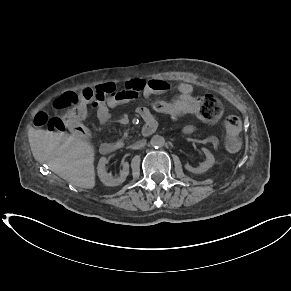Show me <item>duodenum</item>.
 Returning a JSON list of instances; mask_svg holds the SVG:
<instances>
[{"instance_id": "duodenum-1", "label": "duodenum", "mask_w": 291, "mask_h": 291, "mask_svg": "<svg viewBox=\"0 0 291 291\" xmlns=\"http://www.w3.org/2000/svg\"><path fill=\"white\" fill-rule=\"evenodd\" d=\"M155 129H156L155 120L152 116H149L146 119V123L142 128V132L145 135H150L154 133ZM116 149H117V146L114 143H110V142H105L100 146V151L104 155H109L113 153Z\"/></svg>"}]
</instances>
